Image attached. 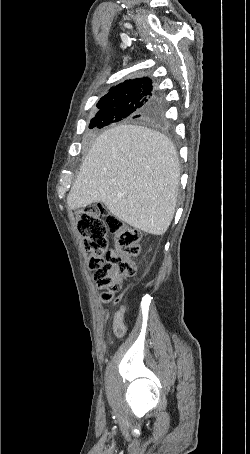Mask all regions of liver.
I'll return each mask as SVG.
<instances>
[{
	"mask_svg": "<svg viewBox=\"0 0 250 454\" xmlns=\"http://www.w3.org/2000/svg\"><path fill=\"white\" fill-rule=\"evenodd\" d=\"M179 183L178 155L168 137L142 126L119 125L93 143L67 205L79 209L103 203L130 226L162 235L175 213Z\"/></svg>",
	"mask_w": 250,
	"mask_h": 454,
	"instance_id": "liver-1",
	"label": "liver"
}]
</instances>
